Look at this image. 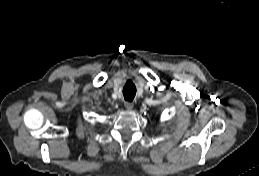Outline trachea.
Segmentation results:
<instances>
[{
    "instance_id": "obj_1",
    "label": "trachea",
    "mask_w": 259,
    "mask_h": 176,
    "mask_svg": "<svg viewBox=\"0 0 259 176\" xmlns=\"http://www.w3.org/2000/svg\"><path fill=\"white\" fill-rule=\"evenodd\" d=\"M136 94V87L132 82L126 83V85L123 88V95L124 99L128 102H131Z\"/></svg>"
}]
</instances>
